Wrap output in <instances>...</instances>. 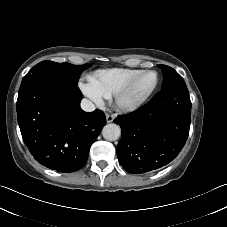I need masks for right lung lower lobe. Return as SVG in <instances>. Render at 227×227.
Segmentation results:
<instances>
[{
	"mask_svg": "<svg viewBox=\"0 0 227 227\" xmlns=\"http://www.w3.org/2000/svg\"><path fill=\"white\" fill-rule=\"evenodd\" d=\"M77 85L49 76L21 83L17 117L21 135L34 158L58 172L82 168L103 126L105 115L80 108Z\"/></svg>",
	"mask_w": 227,
	"mask_h": 227,
	"instance_id": "obj_1",
	"label": "right lung lower lobe"
}]
</instances>
